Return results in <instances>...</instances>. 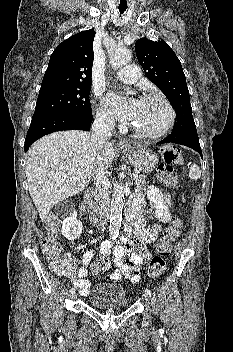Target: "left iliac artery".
I'll return each instance as SVG.
<instances>
[{
  "instance_id": "obj_1",
  "label": "left iliac artery",
  "mask_w": 233,
  "mask_h": 352,
  "mask_svg": "<svg viewBox=\"0 0 233 352\" xmlns=\"http://www.w3.org/2000/svg\"><path fill=\"white\" fill-rule=\"evenodd\" d=\"M145 293H147L150 297L152 296V292L149 289H145Z\"/></svg>"
}]
</instances>
